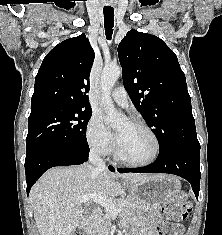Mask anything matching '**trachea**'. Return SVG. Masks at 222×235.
Masks as SVG:
<instances>
[{"instance_id":"obj_1","label":"trachea","mask_w":222,"mask_h":235,"mask_svg":"<svg viewBox=\"0 0 222 235\" xmlns=\"http://www.w3.org/2000/svg\"><path fill=\"white\" fill-rule=\"evenodd\" d=\"M104 27L105 35L108 40H111L114 26V9L113 8H104Z\"/></svg>"}]
</instances>
